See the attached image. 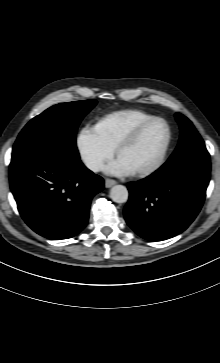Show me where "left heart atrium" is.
Here are the masks:
<instances>
[{
    "label": "left heart atrium",
    "mask_w": 220,
    "mask_h": 363,
    "mask_svg": "<svg viewBox=\"0 0 220 363\" xmlns=\"http://www.w3.org/2000/svg\"><path fill=\"white\" fill-rule=\"evenodd\" d=\"M105 171L108 174L115 176H125L133 172V170L120 158H117L114 161L110 162L106 166Z\"/></svg>",
    "instance_id": "left-heart-atrium-1"
}]
</instances>
